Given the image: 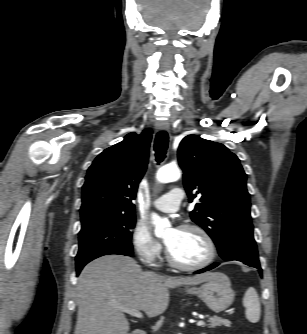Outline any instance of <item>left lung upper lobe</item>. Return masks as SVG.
Instances as JSON below:
<instances>
[{
  "label": "left lung upper lobe",
  "mask_w": 307,
  "mask_h": 334,
  "mask_svg": "<svg viewBox=\"0 0 307 334\" xmlns=\"http://www.w3.org/2000/svg\"><path fill=\"white\" fill-rule=\"evenodd\" d=\"M178 161L189 201L201 195L191 219L210 235L219 254L232 237L253 236L247 176L238 157L223 144L188 135L180 143Z\"/></svg>",
  "instance_id": "left-lung-upper-lobe-1"
}]
</instances>
